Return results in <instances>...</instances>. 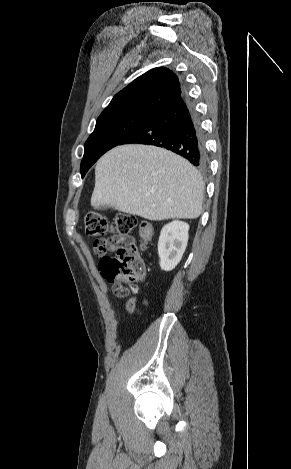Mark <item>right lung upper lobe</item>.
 <instances>
[{"mask_svg": "<svg viewBox=\"0 0 291 469\" xmlns=\"http://www.w3.org/2000/svg\"><path fill=\"white\" fill-rule=\"evenodd\" d=\"M183 91L175 73L164 67L154 68L117 93L100 116L128 110L154 113Z\"/></svg>", "mask_w": 291, "mask_h": 469, "instance_id": "1", "label": "right lung upper lobe"}]
</instances>
